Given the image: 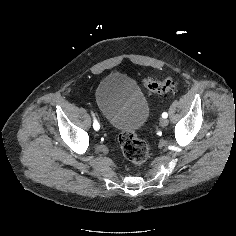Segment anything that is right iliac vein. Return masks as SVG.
<instances>
[{
    "label": "right iliac vein",
    "instance_id": "1",
    "mask_svg": "<svg viewBox=\"0 0 236 236\" xmlns=\"http://www.w3.org/2000/svg\"><path fill=\"white\" fill-rule=\"evenodd\" d=\"M96 118H97V120H98V123H99L101 129H102V130H105L104 125H103V124L100 122V120H99V113L96 114Z\"/></svg>",
    "mask_w": 236,
    "mask_h": 236
}]
</instances>
